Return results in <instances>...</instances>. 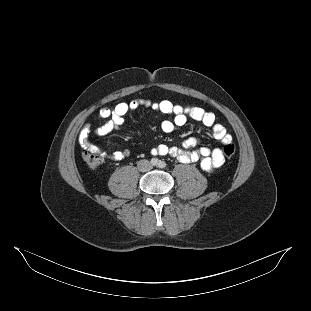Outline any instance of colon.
I'll return each instance as SVG.
<instances>
[{
	"label": "colon",
	"instance_id": "colon-1",
	"mask_svg": "<svg viewBox=\"0 0 311 311\" xmlns=\"http://www.w3.org/2000/svg\"><path fill=\"white\" fill-rule=\"evenodd\" d=\"M236 148L233 143H227L223 148V153L227 159H231L235 154ZM83 158L87 166L91 169H98L103 164L104 160L100 153L85 149L83 152Z\"/></svg>",
	"mask_w": 311,
	"mask_h": 311
}]
</instances>
